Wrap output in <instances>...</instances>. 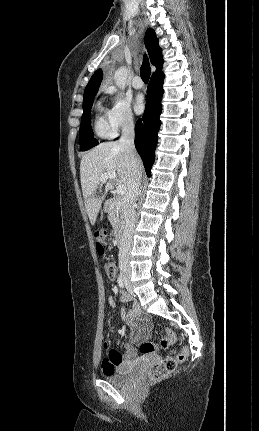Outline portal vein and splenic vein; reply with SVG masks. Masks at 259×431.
<instances>
[{"label":"portal vein and splenic vein","instance_id":"18ae733b","mask_svg":"<svg viewBox=\"0 0 259 431\" xmlns=\"http://www.w3.org/2000/svg\"><path fill=\"white\" fill-rule=\"evenodd\" d=\"M116 177H117L116 173L113 172V171H110V172H106V173L102 174L100 176V181L102 183H104V182H106V180H108V179H116ZM116 193L118 195H124L126 193V187L124 185H118L116 187Z\"/></svg>","mask_w":259,"mask_h":431}]
</instances>
